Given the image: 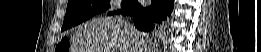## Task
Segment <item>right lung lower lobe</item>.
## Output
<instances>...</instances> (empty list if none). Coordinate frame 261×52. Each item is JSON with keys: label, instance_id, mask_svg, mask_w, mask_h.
<instances>
[{"label": "right lung lower lobe", "instance_id": "right-lung-lower-lobe-1", "mask_svg": "<svg viewBox=\"0 0 261 52\" xmlns=\"http://www.w3.org/2000/svg\"><path fill=\"white\" fill-rule=\"evenodd\" d=\"M121 10L109 12V15L123 14L134 17V25L142 31H151L162 24L173 10V0H151L149 7H144L138 0L123 1Z\"/></svg>", "mask_w": 261, "mask_h": 52}]
</instances>
